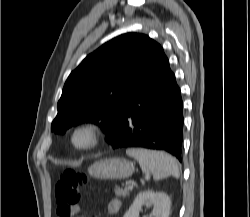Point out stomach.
<instances>
[{"instance_id": "0dacf381", "label": "stomach", "mask_w": 250, "mask_h": 217, "mask_svg": "<svg viewBox=\"0 0 250 217\" xmlns=\"http://www.w3.org/2000/svg\"><path fill=\"white\" fill-rule=\"evenodd\" d=\"M134 164L123 158L103 159L88 168L92 177L98 179H126L134 173Z\"/></svg>"}]
</instances>
